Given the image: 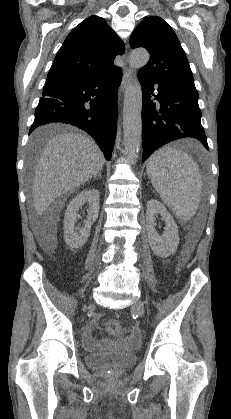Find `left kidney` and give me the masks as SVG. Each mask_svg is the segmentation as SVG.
<instances>
[{
    "mask_svg": "<svg viewBox=\"0 0 231 419\" xmlns=\"http://www.w3.org/2000/svg\"><path fill=\"white\" fill-rule=\"evenodd\" d=\"M161 215L166 223L164 233L159 235L155 229V216ZM146 231L149 245L155 255L168 257L176 252L179 244L178 227L171 214L157 200H149L146 210Z\"/></svg>",
    "mask_w": 231,
    "mask_h": 419,
    "instance_id": "obj_1",
    "label": "left kidney"
}]
</instances>
